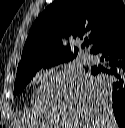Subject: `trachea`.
I'll use <instances>...</instances> for the list:
<instances>
[{
    "label": "trachea",
    "mask_w": 125,
    "mask_h": 128,
    "mask_svg": "<svg viewBox=\"0 0 125 128\" xmlns=\"http://www.w3.org/2000/svg\"><path fill=\"white\" fill-rule=\"evenodd\" d=\"M85 46H86V43L83 44V47H85Z\"/></svg>",
    "instance_id": "3493384b"
}]
</instances>
